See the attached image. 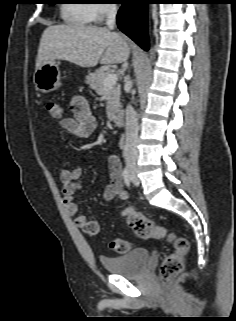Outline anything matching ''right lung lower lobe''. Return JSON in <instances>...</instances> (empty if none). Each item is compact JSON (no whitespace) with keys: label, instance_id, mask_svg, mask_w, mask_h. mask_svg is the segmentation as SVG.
I'll return each mask as SVG.
<instances>
[{"label":"right lung lower lobe","instance_id":"obj_1","mask_svg":"<svg viewBox=\"0 0 236 321\" xmlns=\"http://www.w3.org/2000/svg\"><path fill=\"white\" fill-rule=\"evenodd\" d=\"M122 4L117 14L119 29L144 50H148L147 4L152 0H119Z\"/></svg>","mask_w":236,"mask_h":321}]
</instances>
